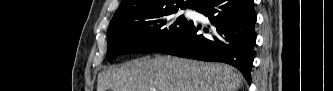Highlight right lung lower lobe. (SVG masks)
<instances>
[{"mask_svg":"<svg viewBox=\"0 0 333 91\" xmlns=\"http://www.w3.org/2000/svg\"><path fill=\"white\" fill-rule=\"evenodd\" d=\"M196 11L208 17L205 34L193 21L156 51L237 67L250 84L253 47L256 41L254 0H205Z\"/></svg>","mask_w":333,"mask_h":91,"instance_id":"98d812e1","label":"right lung lower lobe"}]
</instances>
